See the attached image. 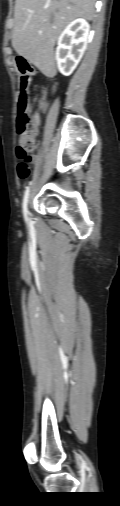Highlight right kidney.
<instances>
[{"label":"right kidney","instance_id":"obj_1","mask_svg":"<svg viewBox=\"0 0 120 506\" xmlns=\"http://www.w3.org/2000/svg\"><path fill=\"white\" fill-rule=\"evenodd\" d=\"M90 36V25L79 18L67 25L58 38L56 49L57 67L61 74L68 76L80 62Z\"/></svg>","mask_w":120,"mask_h":506}]
</instances>
